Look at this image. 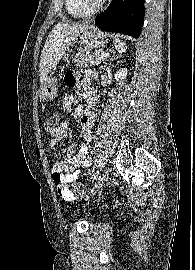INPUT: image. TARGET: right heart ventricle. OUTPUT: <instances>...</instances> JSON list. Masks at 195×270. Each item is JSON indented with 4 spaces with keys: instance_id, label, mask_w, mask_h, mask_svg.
I'll return each instance as SVG.
<instances>
[{
    "instance_id": "right-heart-ventricle-1",
    "label": "right heart ventricle",
    "mask_w": 195,
    "mask_h": 270,
    "mask_svg": "<svg viewBox=\"0 0 195 270\" xmlns=\"http://www.w3.org/2000/svg\"><path fill=\"white\" fill-rule=\"evenodd\" d=\"M66 8L75 18H85L95 12L85 0H66Z\"/></svg>"
}]
</instances>
